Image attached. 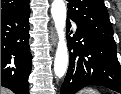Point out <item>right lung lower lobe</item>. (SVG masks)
<instances>
[{
	"label": "right lung lower lobe",
	"mask_w": 121,
	"mask_h": 94,
	"mask_svg": "<svg viewBox=\"0 0 121 94\" xmlns=\"http://www.w3.org/2000/svg\"><path fill=\"white\" fill-rule=\"evenodd\" d=\"M29 17V4L1 16V86L16 94H29L28 77L32 68Z\"/></svg>",
	"instance_id": "1"
}]
</instances>
